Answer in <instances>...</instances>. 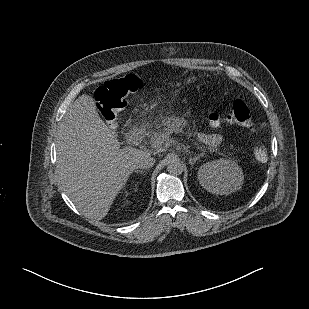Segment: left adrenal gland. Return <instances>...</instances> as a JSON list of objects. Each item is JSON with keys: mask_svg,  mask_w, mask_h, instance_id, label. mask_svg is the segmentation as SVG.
I'll list each match as a JSON object with an SVG mask.
<instances>
[{"mask_svg": "<svg viewBox=\"0 0 309 309\" xmlns=\"http://www.w3.org/2000/svg\"><path fill=\"white\" fill-rule=\"evenodd\" d=\"M202 156V154H198L197 156H195V157H189V164L191 165V166H193L196 162H197V160H199L200 159V157Z\"/></svg>", "mask_w": 309, "mask_h": 309, "instance_id": "a2214340", "label": "left adrenal gland"}]
</instances>
